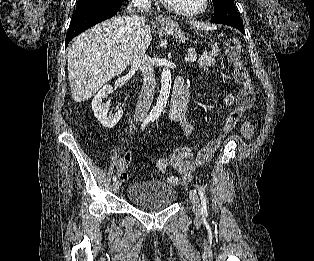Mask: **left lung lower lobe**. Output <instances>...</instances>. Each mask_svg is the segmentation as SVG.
I'll use <instances>...</instances> for the list:
<instances>
[{"label":"left lung lower lobe","mask_w":314,"mask_h":261,"mask_svg":"<svg viewBox=\"0 0 314 261\" xmlns=\"http://www.w3.org/2000/svg\"><path fill=\"white\" fill-rule=\"evenodd\" d=\"M232 27L239 29L243 34H245L243 25H234Z\"/></svg>","instance_id":"0a47b994"}]
</instances>
